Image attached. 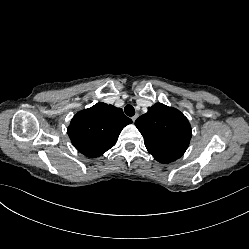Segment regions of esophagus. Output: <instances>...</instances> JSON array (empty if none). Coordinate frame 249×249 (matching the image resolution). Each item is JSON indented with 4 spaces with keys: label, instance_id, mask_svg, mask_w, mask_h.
Returning a JSON list of instances; mask_svg holds the SVG:
<instances>
[{
    "label": "esophagus",
    "instance_id": "obj_1",
    "mask_svg": "<svg viewBox=\"0 0 249 249\" xmlns=\"http://www.w3.org/2000/svg\"><path fill=\"white\" fill-rule=\"evenodd\" d=\"M137 117H138V115L136 114V115H134L133 117H132V121L133 122H135V120L137 119Z\"/></svg>",
    "mask_w": 249,
    "mask_h": 249
}]
</instances>
